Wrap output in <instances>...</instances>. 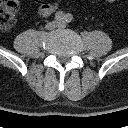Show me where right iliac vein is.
I'll list each match as a JSON object with an SVG mask.
<instances>
[{"mask_svg":"<svg viewBox=\"0 0 128 128\" xmlns=\"http://www.w3.org/2000/svg\"><path fill=\"white\" fill-rule=\"evenodd\" d=\"M56 27H58V21H52L46 24V29L47 30H53Z\"/></svg>","mask_w":128,"mask_h":128,"instance_id":"obj_1","label":"right iliac vein"}]
</instances>
